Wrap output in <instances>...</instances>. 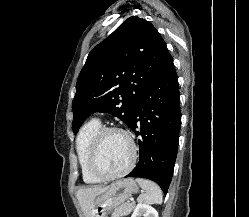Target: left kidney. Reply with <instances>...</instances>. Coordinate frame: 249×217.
<instances>
[{
	"mask_svg": "<svg viewBox=\"0 0 249 217\" xmlns=\"http://www.w3.org/2000/svg\"><path fill=\"white\" fill-rule=\"evenodd\" d=\"M158 217V212L155 208L148 204L139 203L131 217Z\"/></svg>",
	"mask_w": 249,
	"mask_h": 217,
	"instance_id": "1",
	"label": "left kidney"
}]
</instances>
